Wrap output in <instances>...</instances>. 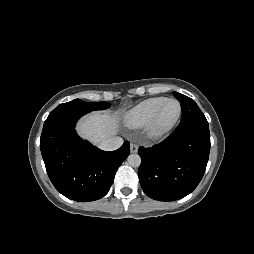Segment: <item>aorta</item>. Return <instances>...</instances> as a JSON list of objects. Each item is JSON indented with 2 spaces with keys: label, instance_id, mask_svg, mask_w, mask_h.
<instances>
[{
  "label": "aorta",
  "instance_id": "762f6f07",
  "mask_svg": "<svg viewBox=\"0 0 254 254\" xmlns=\"http://www.w3.org/2000/svg\"><path fill=\"white\" fill-rule=\"evenodd\" d=\"M127 161L132 167H139L141 164V158L138 154H130L127 158Z\"/></svg>",
  "mask_w": 254,
  "mask_h": 254
}]
</instances>
